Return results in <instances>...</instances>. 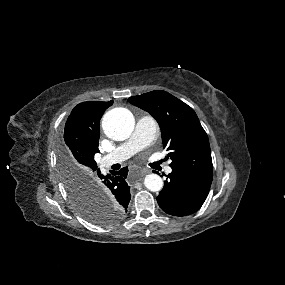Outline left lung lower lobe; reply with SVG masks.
Segmentation results:
<instances>
[{
  "mask_svg": "<svg viewBox=\"0 0 285 285\" xmlns=\"http://www.w3.org/2000/svg\"><path fill=\"white\" fill-rule=\"evenodd\" d=\"M157 196L161 209L174 216L196 212L207 198L212 176L172 170Z\"/></svg>",
  "mask_w": 285,
  "mask_h": 285,
  "instance_id": "obj_1",
  "label": "left lung lower lobe"
}]
</instances>
